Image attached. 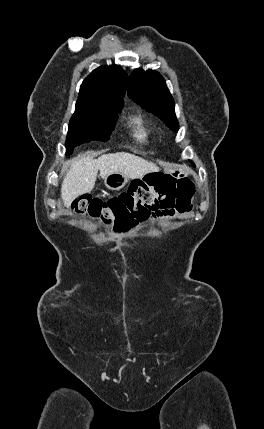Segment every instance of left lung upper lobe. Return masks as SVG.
<instances>
[{"instance_id": "obj_1", "label": "left lung upper lobe", "mask_w": 264, "mask_h": 429, "mask_svg": "<svg viewBox=\"0 0 264 429\" xmlns=\"http://www.w3.org/2000/svg\"><path fill=\"white\" fill-rule=\"evenodd\" d=\"M128 95L140 106L163 120L166 125L178 131L175 103L165 80L156 71L135 69L128 82Z\"/></svg>"}]
</instances>
